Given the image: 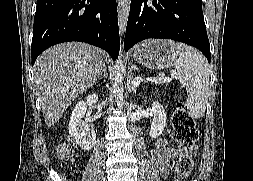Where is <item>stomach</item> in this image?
<instances>
[{
	"mask_svg": "<svg viewBox=\"0 0 253 181\" xmlns=\"http://www.w3.org/2000/svg\"><path fill=\"white\" fill-rule=\"evenodd\" d=\"M169 43L170 41L162 39L144 41L135 47L134 60L149 69L170 67L177 58V53Z\"/></svg>",
	"mask_w": 253,
	"mask_h": 181,
	"instance_id": "obj_1",
	"label": "stomach"
}]
</instances>
